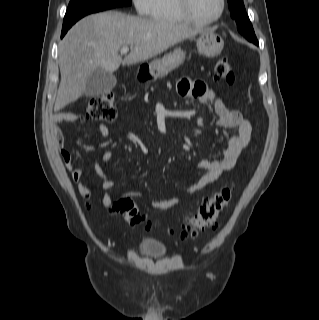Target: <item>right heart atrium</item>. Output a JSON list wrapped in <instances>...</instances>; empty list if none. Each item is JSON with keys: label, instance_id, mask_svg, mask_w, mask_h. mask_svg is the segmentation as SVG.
<instances>
[{"label": "right heart atrium", "instance_id": "right-heart-atrium-1", "mask_svg": "<svg viewBox=\"0 0 319 320\" xmlns=\"http://www.w3.org/2000/svg\"><path fill=\"white\" fill-rule=\"evenodd\" d=\"M132 3L139 14L148 15L153 7L154 0H132Z\"/></svg>", "mask_w": 319, "mask_h": 320}]
</instances>
